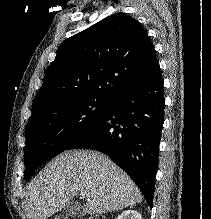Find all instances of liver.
I'll return each mask as SVG.
<instances>
[{
	"instance_id": "liver-1",
	"label": "liver",
	"mask_w": 211,
	"mask_h": 219,
	"mask_svg": "<svg viewBox=\"0 0 211 219\" xmlns=\"http://www.w3.org/2000/svg\"><path fill=\"white\" fill-rule=\"evenodd\" d=\"M80 194L84 212L102 214L142 201L131 178L106 155L90 150L66 151L52 160L27 191L29 219H47Z\"/></svg>"
}]
</instances>
